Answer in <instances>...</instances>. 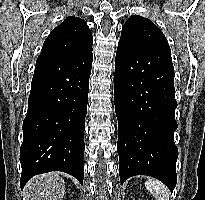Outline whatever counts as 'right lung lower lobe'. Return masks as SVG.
I'll list each match as a JSON object with an SVG mask.
<instances>
[{
  "instance_id": "right-lung-lower-lobe-1",
  "label": "right lung lower lobe",
  "mask_w": 205,
  "mask_h": 200,
  "mask_svg": "<svg viewBox=\"0 0 205 200\" xmlns=\"http://www.w3.org/2000/svg\"><path fill=\"white\" fill-rule=\"evenodd\" d=\"M92 60V49L71 57H38L23 122L21 188L34 175L50 171L66 172L83 184Z\"/></svg>"
}]
</instances>
